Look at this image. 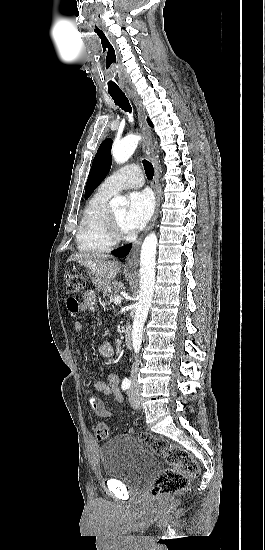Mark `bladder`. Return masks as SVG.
<instances>
[{"mask_svg": "<svg viewBox=\"0 0 265 550\" xmlns=\"http://www.w3.org/2000/svg\"><path fill=\"white\" fill-rule=\"evenodd\" d=\"M159 456L131 434L113 437L100 447L102 472L126 485L138 486L158 467Z\"/></svg>", "mask_w": 265, "mask_h": 550, "instance_id": "31cf9c89", "label": "bladder"}]
</instances>
